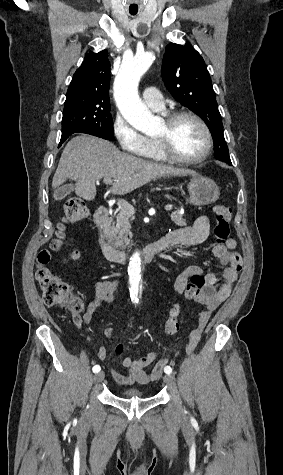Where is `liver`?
<instances>
[{"label": "liver", "mask_w": 283, "mask_h": 475, "mask_svg": "<svg viewBox=\"0 0 283 475\" xmlns=\"http://www.w3.org/2000/svg\"><path fill=\"white\" fill-rule=\"evenodd\" d=\"M196 176L193 170L154 164L120 152L112 142L94 136H76L65 146L52 180L57 190L66 180H75V192L83 200H95V182L113 178L111 194H129L155 178L163 176Z\"/></svg>", "instance_id": "1"}]
</instances>
